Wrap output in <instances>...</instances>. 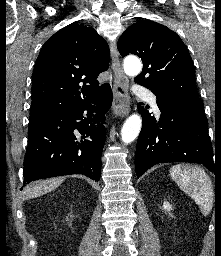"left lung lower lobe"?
Listing matches in <instances>:
<instances>
[{"label":"left lung lower lobe","instance_id":"obj_1","mask_svg":"<svg viewBox=\"0 0 221 256\" xmlns=\"http://www.w3.org/2000/svg\"><path fill=\"white\" fill-rule=\"evenodd\" d=\"M156 97L161 111L158 121L139 106L143 125L135 155L137 177L164 162L198 163L214 171L212 144L202 101L185 97Z\"/></svg>","mask_w":221,"mask_h":256}]
</instances>
